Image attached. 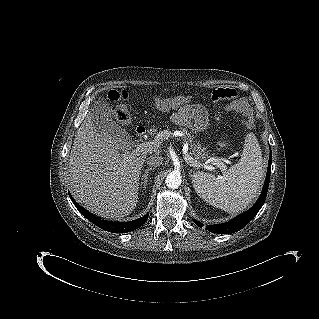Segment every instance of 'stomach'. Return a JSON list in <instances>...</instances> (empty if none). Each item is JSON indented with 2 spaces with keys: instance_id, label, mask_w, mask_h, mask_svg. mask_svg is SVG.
Returning a JSON list of instances; mask_svg holds the SVG:
<instances>
[{
  "instance_id": "obj_1",
  "label": "stomach",
  "mask_w": 319,
  "mask_h": 319,
  "mask_svg": "<svg viewBox=\"0 0 319 319\" xmlns=\"http://www.w3.org/2000/svg\"><path fill=\"white\" fill-rule=\"evenodd\" d=\"M183 125L195 132L205 131L209 125L208 113L203 108L191 107L183 113Z\"/></svg>"
}]
</instances>
